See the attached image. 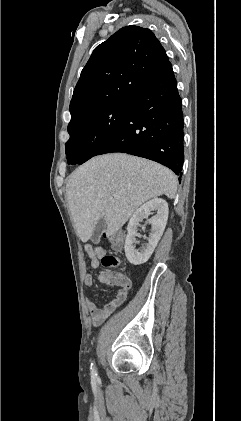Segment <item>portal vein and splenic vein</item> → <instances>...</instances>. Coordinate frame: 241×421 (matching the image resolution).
<instances>
[{
    "label": "portal vein and splenic vein",
    "instance_id": "1",
    "mask_svg": "<svg viewBox=\"0 0 241 421\" xmlns=\"http://www.w3.org/2000/svg\"><path fill=\"white\" fill-rule=\"evenodd\" d=\"M113 196H114V198H118V197H119V195H118V194H114Z\"/></svg>",
    "mask_w": 241,
    "mask_h": 421
}]
</instances>
